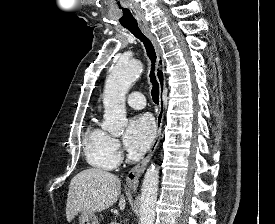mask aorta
Here are the masks:
<instances>
[{"label": "aorta", "instance_id": "aorta-1", "mask_svg": "<svg viewBox=\"0 0 275 224\" xmlns=\"http://www.w3.org/2000/svg\"><path fill=\"white\" fill-rule=\"evenodd\" d=\"M138 60H120L110 71L104 88L103 129L111 134H121L127 125L125 97L142 72ZM159 184V170L152 165L146 172L140 195L139 224H153Z\"/></svg>", "mask_w": 275, "mask_h": 224}]
</instances>
